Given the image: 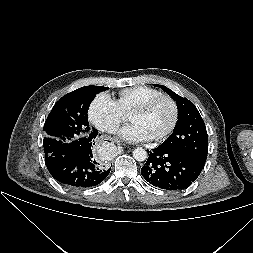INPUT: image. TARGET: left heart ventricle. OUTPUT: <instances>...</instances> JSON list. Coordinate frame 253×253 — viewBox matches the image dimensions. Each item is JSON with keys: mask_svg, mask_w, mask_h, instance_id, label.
<instances>
[{"mask_svg": "<svg viewBox=\"0 0 253 253\" xmlns=\"http://www.w3.org/2000/svg\"><path fill=\"white\" fill-rule=\"evenodd\" d=\"M173 118V109L167 100L156 103L148 112L134 115L132 123L139 124L151 138L161 135L170 125Z\"/></svg>", "mask_w": 253, "mask_h": 253, "instance_id": "1", "label": "left heart ventricle"}]
</instances>
